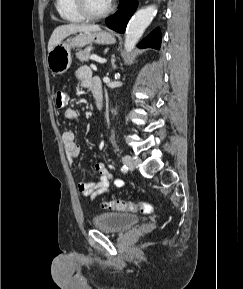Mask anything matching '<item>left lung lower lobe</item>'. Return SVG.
I'll list each match as a JSON object with an SVG mask.
<instances>
[{"label":"left lung lower lobe","mask_w":243,"mask_h":289,"mask_svg":"<svg viewBox=\"0 0 243 289\" xmlns=\"http://www.w3.org/2000/svg\"><path fill=\"white\" fill-rule=\"evenodd\" d=\"M138 6V0H120L119 8L114 15L109 16L105 22L107 26L118 33H124L127 23ZM161 35L158 29L151 32L140 44V48L159 49Z\"/></svg>","instance_id":"obj_1"}]
</instances>
